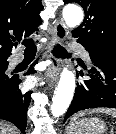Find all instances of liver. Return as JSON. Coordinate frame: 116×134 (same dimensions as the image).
<instances>
[{"mask_svg":"<svg viewBox=\"0 0 116 134\" xmlns=\"http://www.w3.org/2000/svg\"><path fill=\"white\" fill-rule=\"evenodd\" d=\"M0 134H17V132L10 125L0 121Z\"/></svg>","mask_w":116,"mask_h":134,"instance_id":"liver-1","label":"liver"}]
</instances>
